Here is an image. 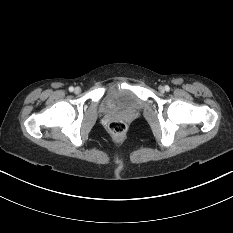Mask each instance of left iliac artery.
<instances>
[{
    "label": "left iliac artery",
    "instance_id": "obj_1",
    "mask_svg": "<svg viewBox=\"0 0 233 233\" xmlns=\"http://www.w3.org/2000/svg\"><path fill=\"white\" fill-rule=\"evenodd\" d=\"M165 90L166 91H169L170 90V87L168 85L165 86Z\"/></svg>",
    "mask_w": 233,
    "mask_h": 233
}]
</instances>
